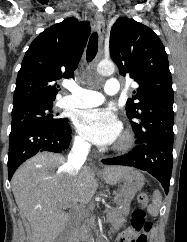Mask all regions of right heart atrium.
<instances>
[{
    "instance_id": "right-heart-atrium-1",
    "label": "right heart atrium",
    "mask_w": 187,
    "mask_h": 242,
    "mask_svg": "<svg viewBox=\"0 0 187 242\" xmlns=\"http://www.w3.org/2000/svg\"><path fill=\"white\" fill-rule=\"evenodd\" d=\"M75 146L78 149L84 150V149H86L88 147V144L82 137L76 136V138H75Z\"/></svg>"
}]
</instances>
